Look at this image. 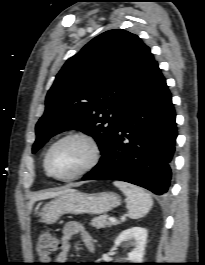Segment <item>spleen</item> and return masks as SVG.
Listing matches in <instances>:
<instances>
[{
  "mask_svg": "<svg viewBox=\"0 0 205 265\" xmlns=\"http://www.w3.org/2000/svg\"><path fill=\"white\" fill-rule=\"evenodd\" d=\"M114 185L127 196L128 215L131 219L143 217L152 208V197L144 189L121 181H115Z\"/></svg>",
  "mask_w": 205,
  "mask_h": 265,
  "instance_id": "1",
  "label": "spleen"
}]
</instances>
